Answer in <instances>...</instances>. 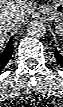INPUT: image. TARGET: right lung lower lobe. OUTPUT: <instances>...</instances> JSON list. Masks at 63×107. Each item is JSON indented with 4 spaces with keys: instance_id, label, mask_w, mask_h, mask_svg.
<instances>
[{
    "instance_id": "98d812e1",
    "label": "right lung lower lobe",
    "mask_w": 63,
    "mask_h": 107,
    "mask_svg": "<svg viewBox=\"0 0 63 107\" xmlns=\"http://www.w3.org/2000/svg\"><path fill=\"white\" fill-rule=\"evenodd\" d=\"M12 38H10L5 50L0 54V72L6 66L10 58L12 57Z\"/></svg>"
}]
</instances>
